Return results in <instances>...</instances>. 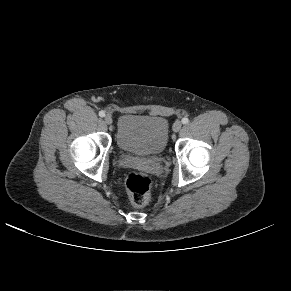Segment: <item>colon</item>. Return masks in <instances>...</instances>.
<instances>
[{
    "label": "colon",
    "instance_id": "colon-1",
    "mask_svg": "<svg viewBox=\"0 0 291 291\" xmlns=\"http://www.w3.org/2000/svg\"><path fill=\"white\" fill-rule=\"evenodd\" d=\"M125 187L130 201L136 206L148 203L151 191V179L142 173H129L125 180Z\"/></svg>",
    "mask_w": 291,
    "mask_h": 291
}]
</instances>
